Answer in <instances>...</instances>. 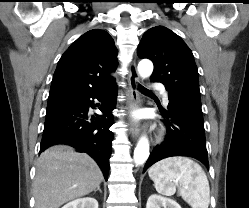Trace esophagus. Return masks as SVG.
<instances>
[{
	"label": "esophagus",
	"mask_w": 249,
	"mask_h": 208,
	"mask_svg": "<svg viewBox=\"0 0 249 208\" xmlns=\"http://www.w3.org/2000/svg\"><path fill=\"white\" fill-rule=\"evenodd\" d=\"M127 81H128L127 106L131 110L139 102V92H138L139 75L136 70L135 63H131L129 66V75ZM129 130L131 136L137 139L140 133L139 122L131 120Z\"/></svg>",
	"instance_id": "esophagus-1"
}]
</instances>
